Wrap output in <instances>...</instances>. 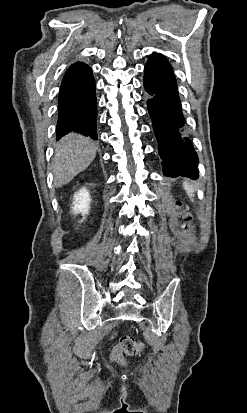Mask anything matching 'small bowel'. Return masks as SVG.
Masks as SVG:
<instances>
[{"instance_id": "c3829d8e", "label": "small bowel", "mask_w": 247, "mask_h": 413, "mask_svg": "<svg viewBox=\"0 0 247 413\" xmlns=\"http://www.w3.org/2000/svg\"><path fill=\"white\" fill-rule=\"evenodd\" d=\"M109 336L110 337H116L117 336V331L116 330H110L109 331Z\"/></svg>"}]
</instances>
